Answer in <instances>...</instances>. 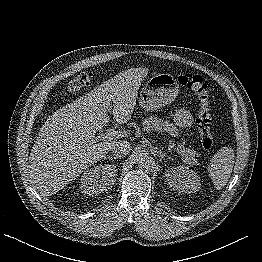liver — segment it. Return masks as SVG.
Listing matches in <instances>:
<instances>
[{
  "label": "liver",
  "instance_id": "1",
  "mask_svg": "<svg viewBox=\"0 0 262 262\" xmlns=\"http://www.w3.org/2000/svg\"><path fill=\"white\" fill-rule=\"evenodd\" d=\"M147 74V68L125 70L47 119L31 150L27 172L40 194L57 192L110 151L115 141H97L96 132L109 122L111 101L119 124L131 118Z\"/></svg>",
  "mask_w": 262,
  "mask_h": 262
}]
</instances>
